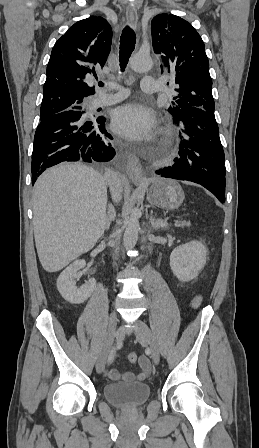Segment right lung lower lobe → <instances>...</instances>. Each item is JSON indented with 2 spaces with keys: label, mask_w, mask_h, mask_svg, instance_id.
I'll return each instance as SVG.
<instances>
[{
  "label": "right lung lower lobe",
  "mask_w": 259,
  "mask_h": 448,
  "mask_svg": "<svg viewBox=\"0 0 259 448\" xmlns=\"http://www.w3.org/2000/svg\"><path fill=\"white\" fill-rule=\"evenodd\" d=\"M103 116L59 113L41 120L32 152V184L47 168L63 161L107 162L115 156Z\"/></svg>",
  "instance_id": "obj_1"
}]
</instances>
